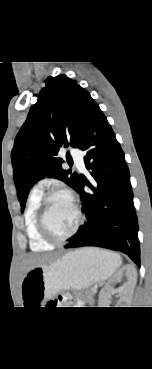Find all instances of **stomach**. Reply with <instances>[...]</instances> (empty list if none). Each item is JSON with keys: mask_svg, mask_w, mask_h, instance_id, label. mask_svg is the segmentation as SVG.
I'll use <instances>...</instances> for the list:
<instances>
[{"mask_svg": "<svg viewBox=\"0 0 152 369\" xmlns=\"http://www.w3.org/2000/svg\"><path fill=\"white\" fill-rule=\"evenodd\" d=\"M120 264V256L110 251L75 250L50 264L28 270L21 284L22 296L26 303L38 304L62 290H82L109 278Z\"/></svg>", "mask_w": 152, "mask_h": 369, "instance_id": "obj_1", "label": "stomach"}]
</instances>
